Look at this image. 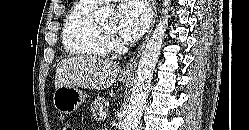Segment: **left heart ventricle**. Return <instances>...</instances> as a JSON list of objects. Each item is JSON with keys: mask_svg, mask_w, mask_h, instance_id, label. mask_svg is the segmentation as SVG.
<instances>
[{"mask_svg": "<svg viewBox=\"0 0 249 130\" xmlns=\"http://www.w3.org/2000/svg\"><path fill=\"white\" fill-rule=\"evenodd\" d=\"M103 28L106 29L107 31L114 32L116 25L115 24H106V25H103Z\"/></svg>", "mask_w": 249, "mask_h": 130, "instance_id": "b2bd125f", "label": "left heart ventricle"}]
</instances>
